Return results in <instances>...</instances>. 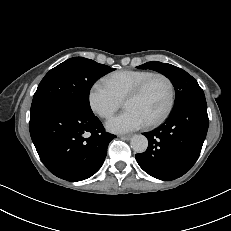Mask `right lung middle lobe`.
<instances>
[{
	"mask_svg": "<svg viewBox=\"0 0 231 231\" xmlns=\"http://www.w3.org/2000/svg\"><path fill=\"white\" fill-rule=\"evenodd\" d=\"M114 68L93 60L74 57L51 69L40 82L30 110V119L60 102H71L92 111L89 92L93 84Z\"/></svg>",
	"mask_w": 231,
	"mask_h": 231,
	"instance_id": "obj_1",
	"label": "right lung middle lobe"
}]
</instances>
